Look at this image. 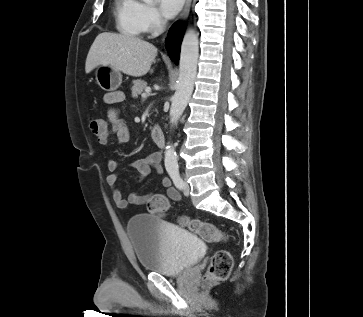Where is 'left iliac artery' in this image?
<instances>
[{
    "mask_svg": "<svg viewBox=\"0 0 363 317\" xmlns=\"http://www.w3.org/2000/svg\"><path fill=\"white\" fill-rule=\"evenodd\" d=\"M169 175H170L171 179L173 180L174 185L178 189H183L184 182H183L182 178L180 177L179 171L172 170L169 172Z\"/></svg>",
    "mask_w": 363,
    "mask_h": 317,
    "instance_id": "1",
    "label": "left iliac artery"
}]
</instances>
